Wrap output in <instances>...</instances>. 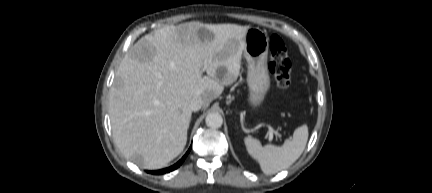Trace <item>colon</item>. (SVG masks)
Listing matches in <instances>:
<instances>
[{"label": "colon", "mask_w": 432, "mask_h": 193, "mask_svg": "<svg viewBox=\"0 0 432 193\" xmlns=\"http://www.w3.org/2000/svg\"><path fill=\"white\" fill-rule=\"evenodd\" d=\"M269 70L279 88L286 89L289 87L291 83V61L283 40L277 35L270 38Z\"/></svg>", "instance_id": "1"}]
</instances>
